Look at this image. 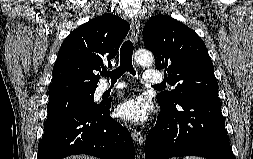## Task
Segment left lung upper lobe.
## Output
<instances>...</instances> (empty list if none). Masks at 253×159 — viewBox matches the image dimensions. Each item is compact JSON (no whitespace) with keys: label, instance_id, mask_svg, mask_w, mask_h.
<instances>
[{"label":"left lung upper lobe","instance_id":"obj_1","mask_svg":"<svg viewBox=\"0 0 253 159\" xmlns=\"http://www.w3.org/2000/svg\"><path fill=\"white\" fill-rule=\"evenodd\" d=\"M144 45L152 51L157 69L174 90L157 95L160 104L174 107L195 97L218 99V83L212 61L201 38L182 22L166 15H155L145 24Z\"/></svg>","mask_w":253,"mask_h":159}]
</instances>
